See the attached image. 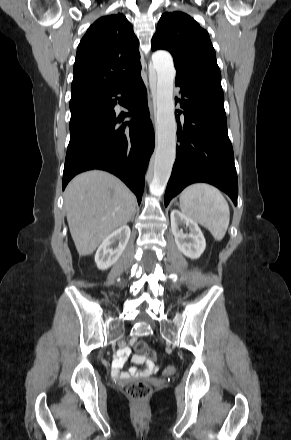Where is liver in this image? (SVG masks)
Wrapping results in <instances>:
<instances>
[{
    "mask_svg": "<svg viewBox=\"0 0 291 440\" xmlns=\"http://www.w3.org/2000/svg\"><path fill=\"white\" fill-rule=\"evenodd\" d=\"M72 239L80 256L92 254L99 244L136 211V198L117 177L92 170L74 177L64 193Z\"/></svg>",
    "mask_w": 291,
    "mask_h": 440,
    "instance_id": "6515ba94",
    "label": "liver"
}]
</instances>
